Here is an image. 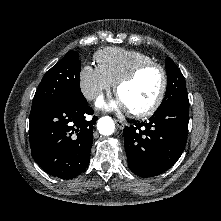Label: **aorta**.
Listing matches in <instances>:
<instances>
[{
	"mask_svg": "<svg viewBox=\"0 0 221 221\" xmlns=\"http://www.w3.org/2000/svg\"><path fill=\"white\" fill-rule=\"evenodd\" d=\"M97 128L100 134L108 136L115 130V124L111 117L104 116L98 120Z\"/></svg>",
	"mask_w": 221,
	"mask_h": 221,
	"instance_id": "762f6f07",
	"label": "aorta"
}]
</instances>
